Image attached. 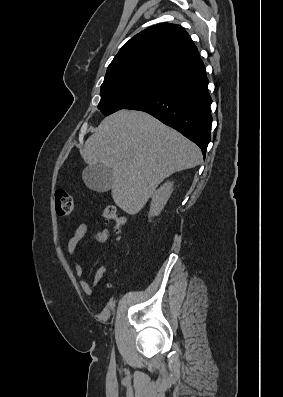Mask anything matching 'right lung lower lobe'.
<instances>
[{
    "label": "right lung lower lobe",
    "instance_id": "1",
    "mask_svg": "<svg viewBox=\"0 0 283 397\" xmlns=\"http://www.w3.org/2000/svg\"><path fill=\"white\" fill-rule=\"evenodd\" d=\"M208 83L204 67L167 82L124 109L156 117L196 143L205 157L212 124Z\"/></svg>",
    "mask_w": 283,
    "mask_h": 397
}]
</instances>
